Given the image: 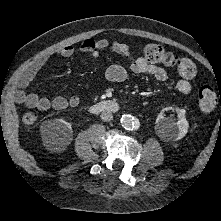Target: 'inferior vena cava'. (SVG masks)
Segmentation results:
<instances>
[{
    "instance_id": "inferior-vena-cava-1",
    "label": "inferior vena cava",
    "mask_w": 221,
    "mask_h": 221,
    "mask_svg": "<svg viewBox=\"0 0 221 221\" xmlns=\"http://www.w3.org/2000/svg\"><path fill=\"white\" fill-rule=\"evenodd\" d=\"M100 117H101V119H102L103 121H110V120L113 119V115H112V113L109 112V111H103V112L101 113Z\"/></svg>"
}]
</instances>
